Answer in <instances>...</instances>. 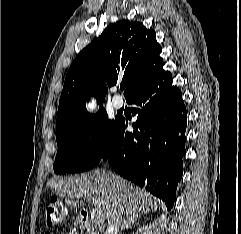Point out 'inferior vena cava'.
<instances>
[{
  "mask_svg": "<svg viewBox=\"0 0 241 234\" xmlns=\"http://www.w3.org/2000/svg\"><path fill=\"white\" fill-rule=\"evenodd\" d=\"M123 211H116L109 219L105 234H118L122 221Z\"/></svg>",
  "mask_w": 241,
  "mask_h": 234,
  "instance_id": "inferior-vena-cava-1",
  "label": "inferior vena cava"
}]
</instances>
